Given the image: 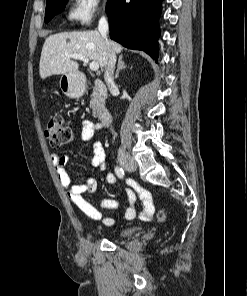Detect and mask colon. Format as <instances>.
<instances>
[{
  "label": "colon",
  "instance_id": "colon-1",
  "mask_svg": "<svg viewBox=\"0 0 247 296\" xmlns=\"http://www.w3.org/2000/svg\"><path fill=\"white\" fill-rule=\"evenodd\" d=\"M46 135L53 146L59 147L70 143L74 138V131L69 126L61 115H53L47 125ZM149 214H147L148 216ZM158 218L161 221L166 219L164 209L158 211Z\"/></svg>",
  "mask_w": 247,
  "mask_h": 296
}]
</instances>
